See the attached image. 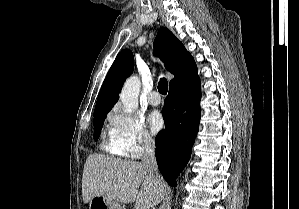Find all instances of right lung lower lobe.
I'll use <instances>...</instances> for the list:
<instances>
[{
    "label": "right lung lower lobe",
    "mask_w": 299,
    "mask_h": 209,
    "mask_svg": "<svg viewBox=\"0 0 299 209\" xmlns=\"http://www.w3.org/2000/svg\"><path fill=\"white\" fill-rule=\"evenodd\" d=\"M200 80L169 88L162 114L165 129L156 136V160L160 172L171 186L188 163L200 121Z\"/></svg>",
    "instance_id": "98d812e1"
}]
</instances>
